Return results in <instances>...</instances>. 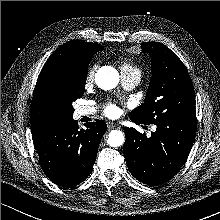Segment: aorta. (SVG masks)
<instances>
[{"label":"aorta","instance_id":"aorta-1","mask_svg":"<svg viewBox=\"0 0 220 220\" xmlns=\"http://www.w3.org/2000/svg\"><path fill=\"white\" fill-rule=\"evenodd\" d=\"M96 84L103 90H110L117 86L119 82V74L116 69L110 66L101 67L95 75ZM125 140L124 134L118 130H112L107 139V143L111 147H119L123 145Z\"/></svg>","mask_w":220,"mask_h":220}]
</instances>
